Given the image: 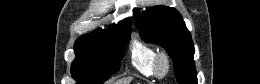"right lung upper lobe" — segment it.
<instances>
[{
	"label": "right lung upper lobe",
	"mask_w": 260,
	"mask_h": 84,
	"mask_svg": "<svg viewBox=\"0 0 260 84\" xmlns=\"http://www.w3.org/2000/svg\"><path fill=\"white\" fill-rule=\"evenodd\" d=\"M127 32H131V22L130 19H125L120 22L118 25L114 26L110 30H96L92 33L85 34L84 36L77 39L75 45H82L89 42L105 38L110 35H121Z\"/></svg>",
	"instance_id": "right-lung-upper-lobe-1"
}]
</instances>
